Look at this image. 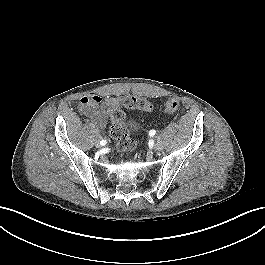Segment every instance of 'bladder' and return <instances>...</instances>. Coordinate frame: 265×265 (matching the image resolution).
<instances>
[{"instance_id":"31cf9c89","label":"bladder","mask_w":265,"mask_h":265,"mask_svg":"<svg viewBox=\"0 0 265 265\" xmlns=\"http://www.w3.org/2000/svg\"><path fill=\"white\" fill-rule=\"evenodd\" d=\"M128 126H129V128H130L131 131H137L139 129L138 123L133 122V121L132 122H129L128 123Z\"/></svg>"}]
</instances>
